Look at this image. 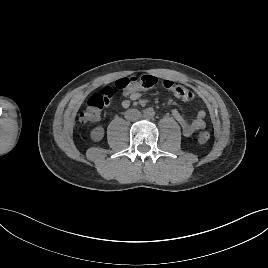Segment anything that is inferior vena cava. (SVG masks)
<instances>
[{
	"instance_id": "obj_1",
	"label": "inferior vena cava",
	"mask_w": 268,
	"mask_h": 268,
	"mask_svg": "<svg viewBox=\"0 0 268 268\" xmlns=\"http://www.w3.org/2000/svg\"><path fill=\"white\" fill-rule=\"evenodd\" d=\"M124 117L127 120H138L141 117V113L140 111L136 110V109H129L125 112Z\"/></svg>"
}]
</instances>
